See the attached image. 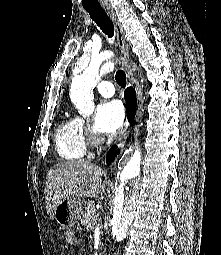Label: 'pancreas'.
<instances>
[{
	"label": "pancreas",
	"mask_w": 221,
	"mask_h": 255,
	"mask_svg": "<svg viewBox=\"0 0 221 255\" xmlns=\"http://www.w3.org/2000/svg\"><path fill=\"white\" fill-rule=\"evenodd\" d=\"M97 217L98 213L95 209V202L89 201L82 214L81 224L86 227L92 228L96 223Z\"/></svg>",
	"instance_id": "cf45deb5"
}]
</instances>
